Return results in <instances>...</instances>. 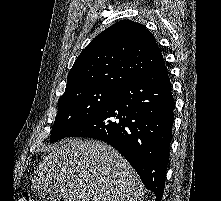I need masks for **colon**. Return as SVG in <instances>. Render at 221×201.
Listing matches in <instances>:
<instances>
[{"instance_id":"1","label":"colon","mask_w":221,"mask_h":201,"mask_svg":"<svg viewBox=\"0 0 221 201\" xmlns=\"http://www.w3.org/2000/svg\"><path fill=\"white\" fill-rule=\"evenodd\" d=\"M19 201H35L29 194H23Z\"/></svg>"}]
</instances>
